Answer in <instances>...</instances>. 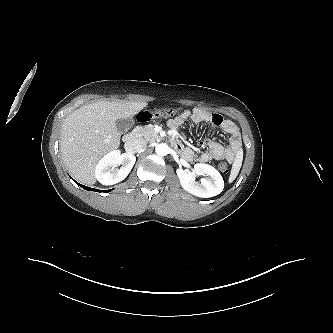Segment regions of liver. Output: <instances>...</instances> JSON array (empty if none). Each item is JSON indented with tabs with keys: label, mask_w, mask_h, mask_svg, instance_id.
I'll return each instance as SVG.
<instances>
[{
	"label": "liver",
	"mask_w": 333,
	"mask_h": 333,
	"mask_svg": "<svg viewBox=\"0 0 333 333\" xmlns=\"http://www.w3.org/2000/svg\"><path fill=\"white\" fill-rule=\"evenodd\" d=\"M147 102L104 101L82 106L64 119L61 129V157L80 183L96 182L95 169L106 153L120 146L118 119L136 115Z\"/></svg>",
	"instance_id": "1"
}]
</instances>
